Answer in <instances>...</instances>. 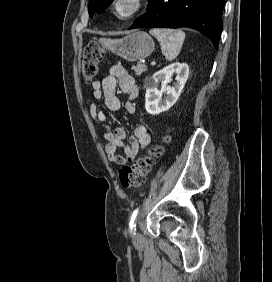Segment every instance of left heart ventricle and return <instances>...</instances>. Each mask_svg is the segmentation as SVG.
I'll use <instances>...</instances> for the list:
<instances>
[{"label": "left heart ventricle", "instance_id": "1", "mask_svg": "<svg viewBox=\"0 0 272 282\" xmlns=\"http://www.w3.org/2000/svg\"><path fill=\"white\" fill-rule=\"evenodd\" d=\"M130 10V3L125 2L121 7H120V12L122 14H126Z\"/></svg>", "mask_w": 272, "mask_h": 282}]
</instances>
